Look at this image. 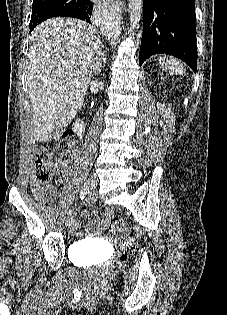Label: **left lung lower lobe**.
<instances>
[{
    "instance_id": "left-lung-lower-lobe-1",
    "label": "left lung lower lobe",
    "mask_w": 227,
    "mask_h": 315,
    "mask_svg": "<svg viewBox=\"0 0 227 315\" xmlns=\"http://www.w3.org/2000/svg\"><path fill=\"white\" fill-rule=\"evenodd\" d=\"M144 22L139 65L166 53L197 70L195 0H143Z\"/></svg>"
}]
</instances>
